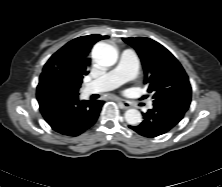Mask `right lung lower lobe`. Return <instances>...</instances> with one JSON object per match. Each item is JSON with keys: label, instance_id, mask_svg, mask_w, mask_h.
<instances>
[{"label": "right lung lower lobe", "instance_id": "obj_1", "mask_svg": "<svg viewBox=\"0 0 222 187\" xmlns=\"http://www.w3.org/2000/svg\"><path fill=\"white\" fill-rule=\"evenodd\" d=\"M78 95L57 73L41 74L37 100L44 119L54 131L78 136L96 122L104 102L79 100Z\"/></svg>", "mask_w": 222, "mask_h": 187}]
</instances>
